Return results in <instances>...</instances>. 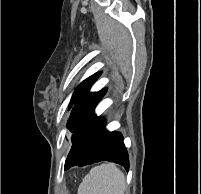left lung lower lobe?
I'll return each instance as SVG.
<instances>
[{
	"label": "left lung lower lobe",
	"instance_id": "0a47b994",
	"mask_svg": "<svg viewBox=\"0 0 201 194\" xmlns=\"http://www.w3.org/2000/svg\"><path fill=\"white\" fill-rule=\"evenodd\" d=\"M72 148L65 162V170L72 166H85L102 160L115 162L129 169V158L123 137L109 132L104 121L94 115L72 137Z\"/></svg>",
	"mask_w": 201,
	"mask_h": 194
}]
</instances>
